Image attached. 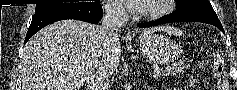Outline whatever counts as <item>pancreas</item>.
Here are the masks:
<instances>
[{
	"label": "pancreas",
	"instance_id": "pancreas-1",
	"mask_svg": "<svg viewBox=\"0 0 237 90\" xmlns=\"http://www.w3.org/2000/svg\"><path fill=\"white\" fill-rule=\"evenodd\" d=\"M165 72L168 74H181V72H187L189 69V64H182V62H178V64H165Z\"/></svg>",
	"mask_w": 237,
	"mask_h": 90
}]
</instances>
